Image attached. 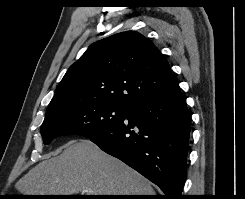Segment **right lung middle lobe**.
I'll return each instance as SVG.
<instances>
[{"label": "right lung middle lobe", "mask_w": 245, "mask_h": 199, "mask_svg": "<svg viewBox=\"0 0 245 199\" xmlns=\"http://www.w3.org/2000/svg\"><path fill=\"white\" fill-rule=\"evenodd\" d=\"M127 107L108 103L77 104L45 117L41 126L44 144L59 136L77 134L91 137L118 122Z\"/></svg>", "instance_id": "right-lung-middle-lobe-1"}]
</instances>
